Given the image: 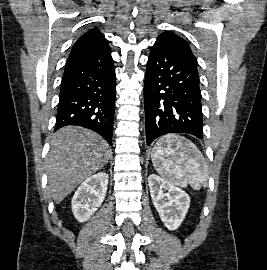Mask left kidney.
Masks as SVG:
<instances>
[{
  "label": "left kidney",
  "mask_w": 267,
  "mask_h": 270,
  "mask_svg": "<svg viewBox=\"0 0 267 270\" xmlns=\"http://www.w3.org/2000/svg\"><path fill=\"white\" fill-rule=\"evenodd\" d=\"M150 195L161 221L170 231L182 223L190 206V197L171 182L151 174L148 177Z\"/></svg>",
  "instance_id": "5707ae66"
}]
</instances>
